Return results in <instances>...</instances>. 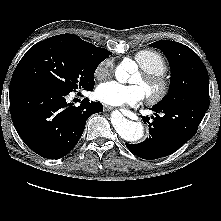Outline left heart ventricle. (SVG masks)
Returning a JSON list of instances; mask_svg holds the SVG:
<instances>
[{"label": "left heart ventricle", "mask_w": 221, "mask_h": 221, "mask_svg": "<svg viewBox=\"0 0 221 221\" xmlns=\"http://www.w3.org/2000/svg\"><path fill=\"white\" fill-rule=\"evenodd\" d=\"M131 82H132L133 84L140 85V86L144 89V91H145V93H146L147 87H146V85H145V83H144V81H143V79H142L141 74H136V75L132 78Z\"/></svg>", "instance_id": "1"}]
</instances>
